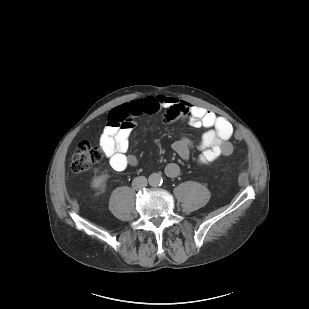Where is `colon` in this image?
<instances>
[{"mask_svg":"<svg viewBox=\"0 0 309 309\" xmlns=\"http://www.w3.org/2000/svg\"><path fill=\"white\" fill-rule=\"evenodd\" d=\"M123 122H130L132 120L125 118ZM235 138L240 140L242 138L241 133L236 132ZM102 159L101 151L92 146L89 142H80L75 149L71 159V169L74 173H82L92 168L93 165L98 163Z\"/></svg>","mask_w":309,"mask_h":309,"instance_id":"1","label":"colon"}]
</instances>
